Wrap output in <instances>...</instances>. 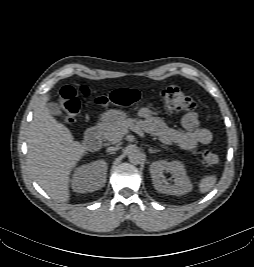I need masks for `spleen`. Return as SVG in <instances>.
Returning <instances> with one entry per match:
<instances>
[{
  "instance_id": "spleen-1",
  "label": "spleen",
  "mask_w": 254,
  "mask_h": 267,
  "mask_svg": "<svg viewBox=\"0 0 254 267\" xmlns=\"http://www.w3.org/2000/svg\"><path fill=\"white\" fill-rule=\"evenodd\" d=\"M217 178L215 176H205L199 182V191L206 193L210 191L216 184Z\"/></svg>"
}]
</instances>
